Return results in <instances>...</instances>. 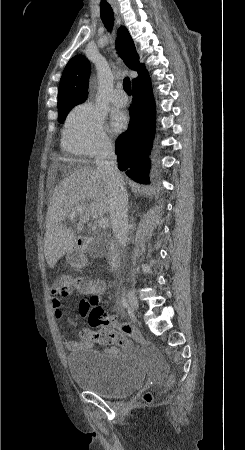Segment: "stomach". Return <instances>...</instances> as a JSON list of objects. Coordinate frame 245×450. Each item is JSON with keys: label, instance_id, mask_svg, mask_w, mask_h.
Here are the masks:
<instances>
[{"label": "stomach", "instance_id": "obj_1", "mask_svg": "<svg viewBox=\"0 0 245 450\" xmlns=\"http://www.w3.org/2000/svg\"><path fill=\"white\" fill-rule=\"evenodd\" d=\"M67 262L75 267H81L86 262V256L80 247L74 246L67 252Z\"/></svg>", "mask_w": 245, "mask_h": 450}]
</instances>
